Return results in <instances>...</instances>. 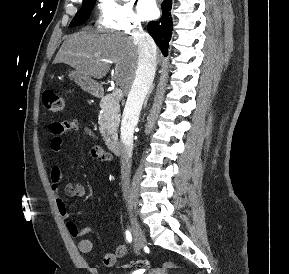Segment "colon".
<instances>
[{"label": "colon", "instance_id": "colon-1", "mask_svg": "<svg viewBox=\"0 0 289 274\" xmlns=\"http://www.w3.org/2000/svg\"><path fill=\"white\" fill-rule=\"evenodd\" d=\"M42 104L46 110L51 113H57L64 109L65 107V98L53 91H44L42 94ZM148 261L146 260H137L128 264V267L135 269L137 272L144 271L148 268ZM166 268L176 267L174 263L167 262L165 264Z\"/></svg>", "mask_w": 289, "mask_h": 274}]
</instances>
